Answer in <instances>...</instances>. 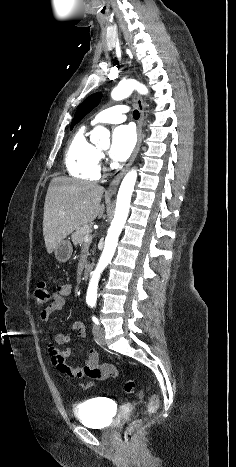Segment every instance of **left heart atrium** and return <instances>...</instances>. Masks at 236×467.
<instances>
[{
	"instance_id": "1",
	"label": "left heart atrium",
	"mask_w": 236,
	"mask_h": 467,
	"mask_svg": "<svg viewBox=\"0 0 236 467\" xmlns=\"http://www.w3.org/2000/svg\"><path fill=\"white\" fill-rule=\"evenodd\" d=\"M136 137L133 128L129 125L116 127L112 134L110 156L113 160L125 161L131 154Z\"/></svg>"
}]
</instances>
